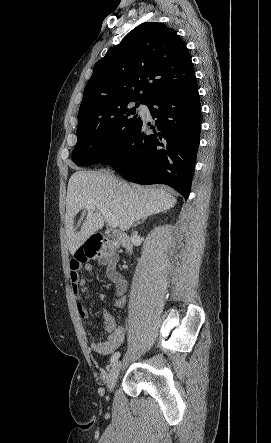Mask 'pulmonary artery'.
Listing matches in <instances>:
<instances>
[{
	"mask_svg": "<svg viewBox=\"0 0 271 443\" xmlns=\"http://www.w3.org/2000/svg\"><path fill=\"white\" fill-rule=\"evenodd\" d=\"M140 109H141L144 113H146V114L149 113V109H148V107L145 106V105H142V106L140 107Z\"/></svg>",
	"mask_w": 271,
	"mask_h": 443,
	"instance_id": "e3ab8cb5",
	"label": "pulmonary artery"
}]
</instances>
